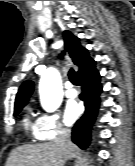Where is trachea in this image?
<instances>
[{"label":"trachea","mask_w":135,"mask_h":166,"mask_svg":"<svg viewBox=\"0 0 135 166\" xmlns=\"http://www.w3.org/2000/svg\"><path fill=\"white\" fill-rule=\"evenodd\" d=\"M68 77L72 84L79 85V80L76 75V72L72 68L68 72Z\"/></svg>","instance_id":"1"}]
</instances>
